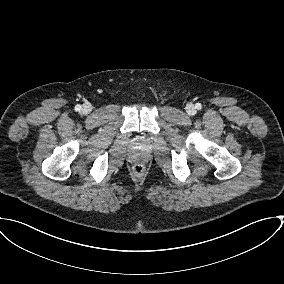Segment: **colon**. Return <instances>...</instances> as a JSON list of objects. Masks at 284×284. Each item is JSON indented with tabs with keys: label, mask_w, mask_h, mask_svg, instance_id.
I'll list each match as a JSON object with an SVG mask.
<instances>
[{
	"label": "colon",
	"mask_w": 284,
	"mask_h": 284,
	"mask_svg": "<svg viewBox=\"0 0 284 284\" xmlns=\"http://www.w3.org/2000/svg\"><path fill=\"white\" fill-rule=\"evenodd\" d=\"M145 168H144V165L141 164V163H136L134 166H133V171L135 174L137 175H141L143 172H144Z\"/></svg>",
	"instance_id": "5ec220e1"
}]
</instances>
